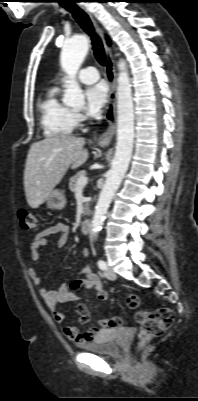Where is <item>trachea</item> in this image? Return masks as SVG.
<instances>
[{
  "label": "trachea",
  "mask_w": 198,
  "mask_h": 401,
  "mask_svg": "<svg viewBox=\"0 0 198 401\" xmlns=\"http://www.w3.org/2000/svg\"><path fill=\"white\" fill-rule=\"evenodd\" d=\"M74 2L75 0H67V2H65L62 6L72 13L74 19L77 21L80 27L91 37L94 56L100 65L105 66L107 59L101 39L96 34L88 15Z\"/></svg>",
  "instance_id": "3493384b"
}]
</instances>
